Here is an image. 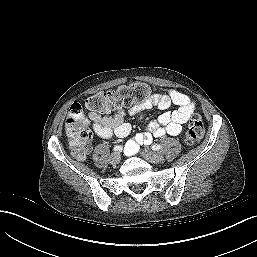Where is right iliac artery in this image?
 Returning a JSON list of instances; mask_svg holds the SVG:
<instances>
[{
    "label": "right iliac artery",
    "mask_w": 257,
    "mask_h": 257,
    "mask_svg": "<svg viewBox=\"0 0 257 257\" xmlns=\"http://www.w3.org/2000/svg\"><path fill=\"white\" fill-rule=\"evenodd\" d=\"M123 149V146H115L114 147V150L115 151H120V150H122Z\"/></svg>",
    "instance_id": "right-iliac-artery-1"
}]
</instances>
